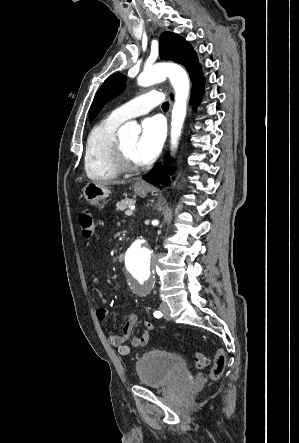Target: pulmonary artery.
<instances>
[{
    "label": "pulmonary artery",
    "instance_id": "obj_1",
    "mask_svg": "<svg viewBox=\"0 0 299 443\" xmlns=\"http://www.w3.org/2000/svg\"><path fill=\"white\" fill-rule=\"evenodd\" d=\"M164 101V95L158 91L146 92L114 109L110 116L125 121L145 113Z\"/></svg>",
    "mask_w": 299,
    "mask_h": 443
}]
</instances>
